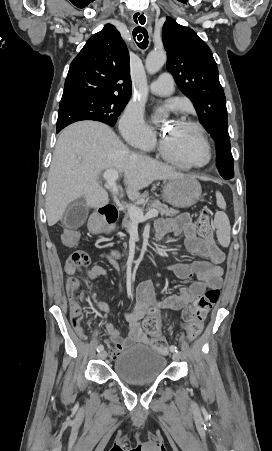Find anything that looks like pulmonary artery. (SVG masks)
I'll list each match as a JSON object with an SVG mask.
<instances>
[{"label":"pulmonary artery","instance_id":"1","mask_svg":"<svg viewBox=\"0 0 272 451\" xmlns=\"http://www.w3.org/2000/svg\"><path fill=\"white\" fill-rule=\"evenodd\" d=\"M168 78V79H166ZM148 90L158 96H170L174 90V80L170 74H162L156 81L151 83Z\"/></svg>","mask_w":272,"mask_h":451}]
</instances>
